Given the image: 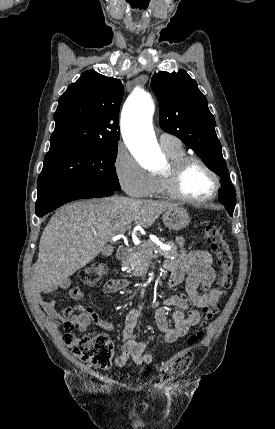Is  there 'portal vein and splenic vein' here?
I'll return each instance as SVG.
<instances>
[{
    "mask_svg": "<svg viewBox=\"0 0 275 429\" xmlns=\"http://www.w3.org/2000/svg\"><path fill=\"white\" fill-rule=\"evenodd\" d=\"M128 228H124L123 229V231H126ZM117 238V236H115L113 239H116ZM161 248L162 249H164V250H169L171 247H169V246H161Z\"/></svg>",
    "mask_w": 275,
    "mask_h": 429,
    "instance_id": "18ae733b",
    "label": "portal vein and splenic vein"
}]
</instances>
